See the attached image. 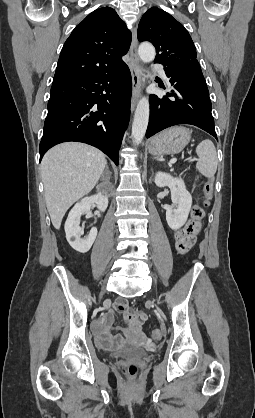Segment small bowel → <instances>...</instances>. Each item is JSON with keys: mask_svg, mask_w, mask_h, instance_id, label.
Returning <instances> with one entry per match:
<instances>
[{"mask_svg": "<svg viewBox=\"0 0 255 418\" xmlns=\"http://www.w3.org/2000/svg\"><path fill=\"white\" fill-rule=\"evenodd\" d=\"M199 236L198 228H176L171 236L173 247L177 249L179 256H188L189 249L196 247V239ZM114 310L123 315L126 329L112 336L110 327L114 319V312H109L102 317L96 325V337L98 345L104 349H114L123 345L125 336L135 339L142 338L140 326L146 321L147 316L142 313H134L128 309L127 303L120 299L115 303Z\"/></svg>", "mask_w": 255, "mask_h": 418, "instance_id": "c3829d8e", "label": "small bowel"}]
</instances>
